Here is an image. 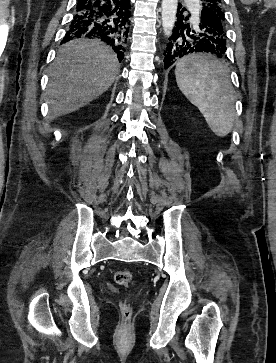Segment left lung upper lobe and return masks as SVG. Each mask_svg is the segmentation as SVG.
Masks as SVG:
<instances>
[{
	"label": "left lung upper lobe",
	"mask_w": 276,
	"mask_h": 363,
	"mask_svg": "<svg viewBox=\"0 0 276 363\" xmlns=\"http://www.w3.org/2000/svg\"><path fill=\"white\" fill-rule=\"evenodd\" d=\"M203 9L212 11L222 26V38L226 42L225 15L221 0H201Z\"/></svg>",
	"instance_id": "5c2ea615"
}]
</instances>
